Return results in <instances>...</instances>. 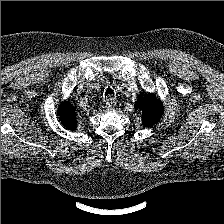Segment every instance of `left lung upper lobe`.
I'll return each mask as SVG.
<instances>
[{"instance_id": "1", "label": "left lung upper lobe", "mask_w": 224, "mask_h": 224, "mask_svg": "<svg viewBox=\"0 0 224 224\" xmlns=\"http://www.w3.org/2000/svg\"><path fill=\"white\" fill-rule=\"evenodd\" d=\"M134 106L142 113V125L148 128L156 124L164 112L161 100L149 93L140 94Z\"/></svg>"}]
</instances>
